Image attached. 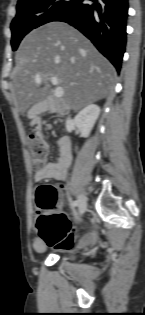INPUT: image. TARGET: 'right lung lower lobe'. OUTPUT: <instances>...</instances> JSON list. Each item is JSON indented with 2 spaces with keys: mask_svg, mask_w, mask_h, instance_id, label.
Returning <instances> with one entry per match:
<instances>
[{
  "mask_svg": "<svg viewBox=\"0 0 145 315\" xmlns=\"http://www.w3.org/2000/svg\"><path fill=\"white\" fill-rule=\"evenodd\" d=\"M74 0L54 21L80 30L119 72L126 45L128 0Z\"/></svg>",
  "mask_w": 145,
  "mask_h": 315,
  "instance_id": "98d812e1",
  "label": "right lung lower lobe"
}]
</instances>
